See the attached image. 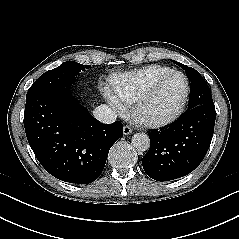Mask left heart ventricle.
<instances>
[{"instance_id": "1", "label": "left heart ventricle", "mask_w": 239, "mask_h": 239, "mask_svg": "<svg viewBox=\"0 0 239 239\" xmlns=\"http://www.w3.org/2000/svg\"><path fill=\"white\" fill-rule=\"evenodd\" d=\"M184 88L182 77L172 76L168 78L150 96L142 109V115L153 119L170 115L179 104Z\"/></svg>"}]
</instances>
